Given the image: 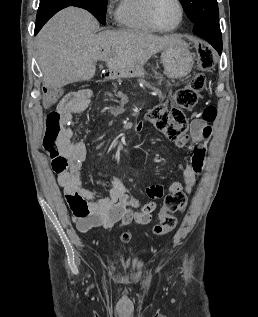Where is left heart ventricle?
Listing matches in <instances>:
<instances>
[{
  "instance_id": "obj_1",
  "label": "left heart ventricle",
  "mask_w": 258,
  "mask_h": 317,
  "mask_svg": "<svg viewBox=\"0 0 258 317\" xmlns=\"http://www.w3.org/2000/svg\"><path fill=\"white\" fill-rule=\"evenodd\" d=\"M154 21L161 28H170L178 20L179 9L175 0H158L152 9Z\"/></svg>"
}]
</instances>
